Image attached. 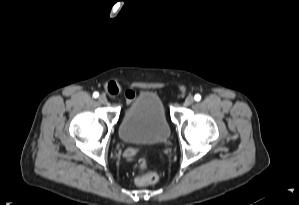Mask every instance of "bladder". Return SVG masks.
Wrapping results in <instances>:
<instances>
[{"label": "bladder", "instance_id": "1", "mask_svg": "<svg viewBox=\"0 0 299 205\" xmlns=\"http://www.w3.org/2000/svg\"><path fill=\"white\" fill-rule=\"evenodd\" d=\"M120 139L142 145L165 143L171 128L161 98L142 92L126 108L118 127Z\"/></svg>", "mask_w": 299, "mask_h": 205}]
</instances>
